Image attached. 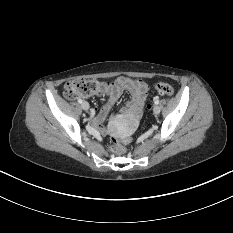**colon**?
Listing matches in <instances>:
<instances>
[{
  "label": "colon",
  "mask_w": 233,
  "mask_h": 233,
  "mask_svg": "<svg viewBox=\"0 0 233 233\" xmlns=\"http://www.w3.org/2000/svg\"><path fill=\"white\" fill-rule=\"evenodd\" d=\"M106 89V83L92 79L76 78L68 81L64 86V95L67 99H74L77 96L89 97L101 94ZM155 89L160 95L172 96L174 89L171 85L159 82L155 85ZM112 145L110 150L116 154L125 152V143L127 140H120L116 137L111 139Z\"/></svg>",
  "instance_id": "1"
}]
</instances>
